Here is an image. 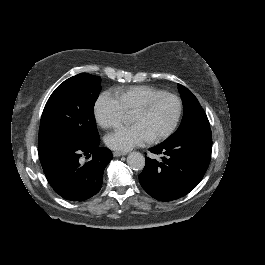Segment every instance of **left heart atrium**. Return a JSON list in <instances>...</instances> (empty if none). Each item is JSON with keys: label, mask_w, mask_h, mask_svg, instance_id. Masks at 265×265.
<instances>
[{"label": "left heart atrium", "mask_w": 265, "mask_h": 265, "mask_svg": "<svg viewBox=\"0 0 265 265\" xmlns=\"http://www.w3.org/2000/svg\"><path fill=\"white\" fill-rule=\"evenodd\" d=\"M151 137L142 125L123 127L108 134L105 138L106 145L117 151H128L134 147L142 146L149 142Z\"/></svg>", "instance_id": "1"}]
</instances>
